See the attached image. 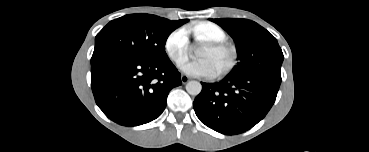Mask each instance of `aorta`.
<instances>
[{"mask_svg":"<svg viewBox=\"0 0 369 152\" xmlns=\"http://www.w3.org/2000/svg\"><path fill=\"white\" fill-rule=\"evenodd\" d=\"M202 90V85L198 81H189L186 84V91L193 96L198 95Z\"/></svg>","mask_w":369,"mask_h":152,"instance_id":"1","label":"aorta"}]
</instances>
